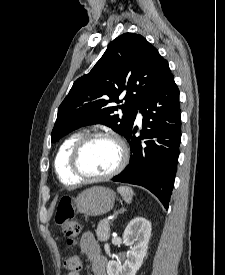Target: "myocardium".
<instances>
[{"instance_id": "f54148a6", "label": "myocardium", "mask_w": 225, "mask_h": 275, "mask_svg": "<svg viewBox=\"0 0 225 275\" xmlns=\"http://www.w3.org/2000/svg\"><path fill=\"white\" fill-rule=\"evenodd\" d=\"M96 138H105L114 141L120 151V157L116 167L110 172L102 175H90L82 171L79 164V159L82 151L86 145ZM129 158V152L124 141L117 135H113L103 131H93L86 134H83L72 147L70 156H69V168L71 172L80 180L85 181H102L109 178H112L119 174L126 166Z\"/></svg>"}]
</instances>
